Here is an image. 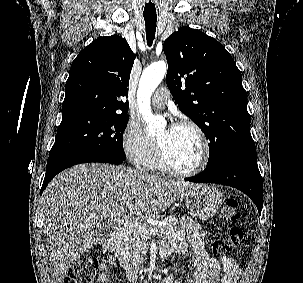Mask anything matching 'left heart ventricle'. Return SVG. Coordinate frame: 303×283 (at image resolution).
<instances>
[{
  "mask_svg": "<svg viewBox=\"0 0 303 283\" xmlns=\"http://www.w3.org/2000/svg\"><path fill=\"white\" fill-rule=\"evenodd\" d=\"M157 140L168 163L180 170H190L201 160V143L189 127L173 126L170 130L163 127L157 134Z\"/></svg>",
  "mask_w": 303,
  "mask_h": 283,
  "instance_id": "b2bd125f",
  "label": "left heart ventricle"
}]
</instances>
